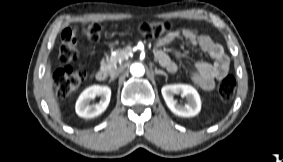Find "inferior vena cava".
Segmentation results:
<instances>
[{
	"label": "inferior vena cava",
	"mask_w": 283,
	"mask_h": 162,
	"mask_svg": "<svg viewBox=\"0 0 283 162\" xmlns=\"http://www.w3.org/2000/svg\"><path fill=\"white\" fill-rule=\"evenodd\" d=\"M119 73H120L119 70H114V71L111 72L110 76H111L112 78H114V77L118 76Z\"/></svg>",
	"instance_id": "obj_1"
}]
</instances>
